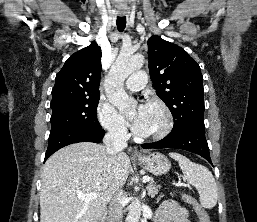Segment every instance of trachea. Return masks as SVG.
I'll use <instances>...</instances> for the list:
<instances>
[{"mask_svg": "<svg viewBox=\"0 0 257 222\" xmlns=\"http://www.w3.org/2000/svg\"><path fill=\"white\" fill-rule=\"evenodd\" d=\"M116 24H117V28L120 32L124 31V29L126 27V17L125 16H123V17L118 16L117 20H116Z\"/></svg>", "mask_w": 257, "mask_h": 222, "instance_id": "trachea-1", "label": "trachea"}]
</instances>
